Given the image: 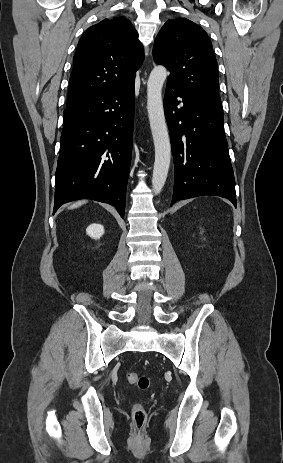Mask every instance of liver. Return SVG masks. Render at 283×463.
Instances as JSON below:
<instances>
[{
  "label": "liver",
  "instance_id": "liver-1",
  "mask_svg": "<svg viewBox=\"0 0 283 463\" xmlns=\"http://www.w3.org/2000/svg\"><path fill=\"white\" fill-rule=\"evenodd\" d=\"M85 203H86L85 200L78 201V202L74 203L73 205H71L69 208H70V209H74V208H77V207H79V206H81V205H83V204H85Z\"/></svg>",
  "mask_w": 283,
  "mask_h": 463
}]
</instances>
